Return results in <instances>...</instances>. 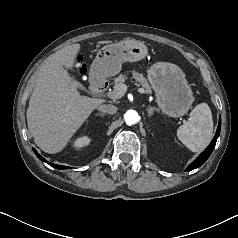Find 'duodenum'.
Segmentation results:
<instances>
[{"mask_svg": "<svg viewBox=\"0 0 238 238\" xmlns=\"http://www.w3.org/2000/svg\"><path fill=\"white\" fill-rule=\"evenodd\" d=\"M108 87V83L105 79L94 77L91 83V91L95 94L105 91Z\"/></svg>", "mask_w": 238, "mask_h": 238, "instance_id": "obj_1", "label": "duodenum"}]
</instances>
